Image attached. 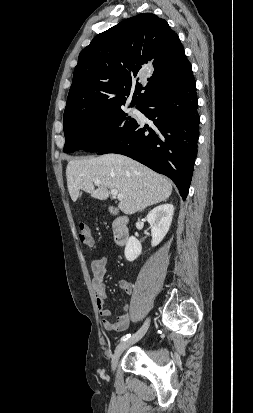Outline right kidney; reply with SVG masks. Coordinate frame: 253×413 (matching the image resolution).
I'll use <instances>...</instances> for the list:
<instances>
[{"instance_id": "1", "label": "right kidney", "mask_w": 253, "mask_h": 413, "mask_svg": "<svg viewBox=\"0 0 253 413\" xmlns=\"http://www.w3.org/2000/svg\"><path fill=\"white\" fill-rule=\"evenodd\" d=\"M174 213V206L172 204H163L155 207L147 215V221L150 224L152 247L157 246L166 236L171 226ZM141 243L131 236L125 246V258L127 261H134L141 254Z\"/></svg>"}]
</instances>
